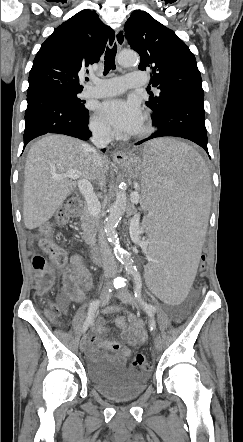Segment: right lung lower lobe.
<instances>
[{"label":"right lung lower lobe","mask_w":243,"mask_h":442,"mask_svg":"<svg viewBox=\"0 0 243 442\" xmlns=\"http://www.w3.org/2000/svg\"><path fill=\"white\" fill-rule=\"evenodd\" d=\"M24 147L46 133H59L87 140L89 114H82L74 102L57 90L27 93ZM104 151V150H103Z\"/></svg>","instance_id":"1"}]
</instances>
